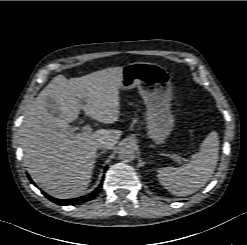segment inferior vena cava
<instances>
[{
  "label": "inferior vena cava",
  "instance_id": "obj_1",
  "mask_svg": "<svg viewBox=\"0 0 247 245\" xmlns=\"http://www.w3.org/2000/svg\"><path fill=\"white\" fill-rule=\"evenodd\" d=\"M111 147V143L110 142H106V141H103L99 144V148L102 149V150H107Z\"/></svg>",
  "mask_w": 247,
  "mask_h": 245
}]
</instances>
